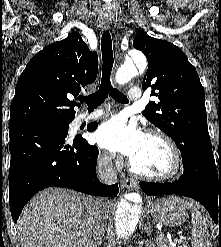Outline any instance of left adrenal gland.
<instances>
[{
	"label": "left adrenal gland",
	"mask_w": 221,
	"mask_h": 247,
	"mask_svg": "<svg viewBox=\"0 0 221 247\" xmlns=\"http://www.w3.org/2000/svg\"><path fill=\"white\" fill-rule=\"evenodd\" d=\"M143 230H144V232L147 234V236L151 237L152 229H151V224H150L149 221L147 222V224H145Z\"/></svg>",
	"instance_id": "a2214340"
}]
</instances>
